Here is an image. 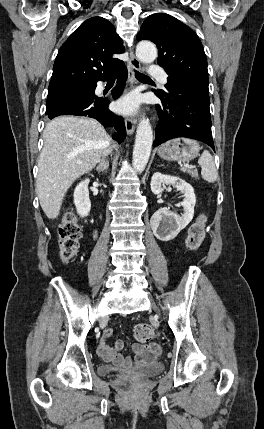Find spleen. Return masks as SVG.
I'll return each instance as SVG.
<instances>
[{"mask_svg": "<svg viewBox=\"0 0 264 429\" xmlns=\"http://www.w3.org/2000/svg\"><path fill=\"white\" fill-rule=\"evenodd\" d=\"M198 163L201 166L202 178L210 183L215 182L218 178V172L215 167L214 159L207 150L203 151ZM182 170L184 171V169Z\"/></svg>", "mask_w": 264, "mask_h": 429, "instance_id": "3e777b00", "label": "spleen"}]
</instances>
